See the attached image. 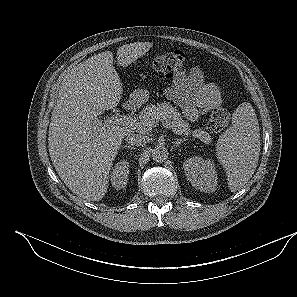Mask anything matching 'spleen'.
<instances>
[{
	"label": "spleen",
	"instance_id": "3e777b00",
	"mask_svg": "<svg viewBox=\"0 0 297 297\" xmlns=\"http://www.w3.org/2000/svg\"><path fill=\"white\" fill-rule=\"evenodd\" d=\"M260 129L250 103L240 104L232 126L218 139L216 156L225 168L231 192L239 191L254 174L260 153Z\"/></svg>",
	"mask_w": 297,
	"mask_h": 297
}]
</instances>
